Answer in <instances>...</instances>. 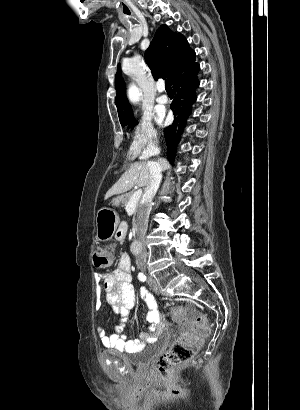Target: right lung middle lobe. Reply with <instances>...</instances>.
I'll return each instance as SVG.
<instances>
[{"mask_svg": "<svg viewBox=\"0 0 300 410\" xmlns=\"http://www.w3.org/2000/svg\"><path fill=\"white\" fill-rule=\"evenodd\" d=\"M121 124L122 125L134 126L138 123L134 120V118H132V119H129V120H126V121L122 122Z\"/></svg>", "mask_w": 300, "mask_h": 410, "instance_id": "1", "label": "right lung middle lobe"}]
</instances>
